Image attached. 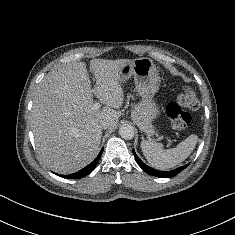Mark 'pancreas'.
<instances>
[{
    "instance_id": "1",
    "label": "pancreas",
    "mask_w": 235,
    "mask_h": 235,
    "mask_svg": "<svg viewBox=\"0 0 235 235\" xmlns=\"http://www.w3.org/2000/svg\"><path fill=\"white\" fill-rule=\"evenodd\" d=\"M132 120L139 126L141 130L148 134H152L154 132L152 124H149L142 116L140 107H135L132 112Z\"/></svg>"
}]
</instances>
